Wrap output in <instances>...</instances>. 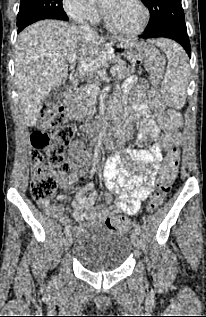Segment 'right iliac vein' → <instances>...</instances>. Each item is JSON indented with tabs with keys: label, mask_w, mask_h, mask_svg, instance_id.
Listing matches in <instances>:
<instances>
[{
	"label": "right iliac vein",
	"mask_w": 206,
	"mask_h": 317,
	"mask_svg": "<svg viewBox=\"0 0 206 317\" xmlns=\"http://www.w3.org/2000/svg\"><path fill=\"white\" fill-rule=\"evenodd\" d=\"M72 244V234L67 233L65 239H64V250L67 251Z\"/></svg>",
	"instance_id": "1"
}]
</instances>
